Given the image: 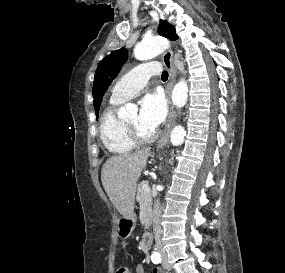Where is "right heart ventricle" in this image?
Returning a JSON list of instances; mask_svg holds the SVG:
<instances>
[{
  "label": "right heart ventricle",
  "instance_id": "obj_1",
  "mask_svg": "<svg viewBox=\"0 0 285 273\" xmlns=\"http://www.w3.org/2000/svg\"><path fill=\"white\" fill-rule=\"evenodd\" d=\"M121 102H111L100 118L99 134L105 148L113 154H126L135 147L127 135L122 120L116 115V107Z\"/></svg>",
  "mask_w": 285,
  "mask_h": 273
}]
</instances>
